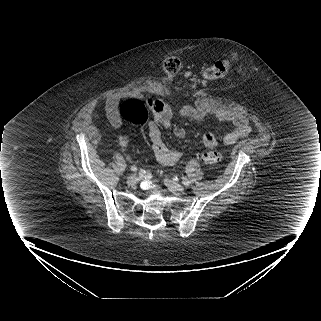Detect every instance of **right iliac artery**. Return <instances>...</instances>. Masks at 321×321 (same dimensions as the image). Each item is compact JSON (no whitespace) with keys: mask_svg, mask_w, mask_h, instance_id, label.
Segmentation results:
<instances>
[{"mask_svg":"<svg viewBox=\"0 0 321 321\" xmlns=\"http://www.w3.org/2000/svg\"><path fill=\"white\" fill-rule=\"evenodd\" d=\"M131 170L135 171V170H137V169H136V167H132Z\"/></svg>","mask_w":321,"mask_h":321,"instance_id":"right-iliac-artery-1","label":"right iliac artery"}]
</instances>
